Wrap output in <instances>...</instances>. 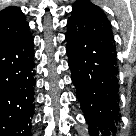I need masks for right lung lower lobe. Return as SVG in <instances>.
I'll return each instance as SVG.
<instances>
[{"instance_id":"right-lung-lower-lobe-1","label":"right lung lower lobe","mask_w":136,"mask_h":136,"mask_svg":"<svg viewBox=\"0 0 136 136\" xmlns=\"http://www.w3.org/2000/svg\"><path fill=\"white\" fill-rule=\"evenodd\" d=\"M33 37L0 45V136H30L34 109Z\"/></svg>"}]
</instances>
